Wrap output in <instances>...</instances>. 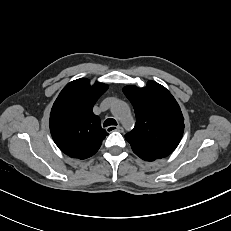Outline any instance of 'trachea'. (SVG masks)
I'll list each match as a JSON object with an SVG mask.
<instances>
[{
  "instance_id": "obj_1",
  "label": "trachea",
  "mask_w": 231,
  "mask_h": 231,
  "mask_svg": "<svg viewBox=\"0 0 231 231\" xmlns=\"http://www.w3.org/2000/svg\"><path fill=\"white\" fill-rule=\"evenodd\" d=\"M115 125H117V122L114 119H112V118L106 119L105 122H104V124H103L104 127L115 126Z\"/></svg>"
}]
</instances>
